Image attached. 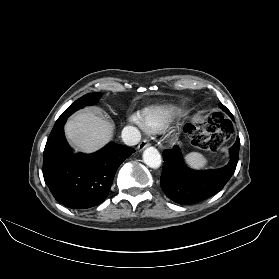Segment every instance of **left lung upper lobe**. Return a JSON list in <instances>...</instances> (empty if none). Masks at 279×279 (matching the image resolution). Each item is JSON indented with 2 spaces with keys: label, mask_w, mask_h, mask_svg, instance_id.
Listing matches in <instances>:
<instances>
[{
  "label": "left lung upper lobe",
  "mask_w": 279,
  "mask_h": 279,
  "mask_svg": "<svg viewBox=\"0 0 279 279\" xmlns=\"http://www.w3.org/2000/svg\"><path fill=\"white\" fill-rule=\"evenodd\" d=\"M219 106H220L228 115H230L229 110H228L222 103H220Z\"/></svg>",
  "instance_id": "left-lung-upper-lobe-1"
}]
</instances>
